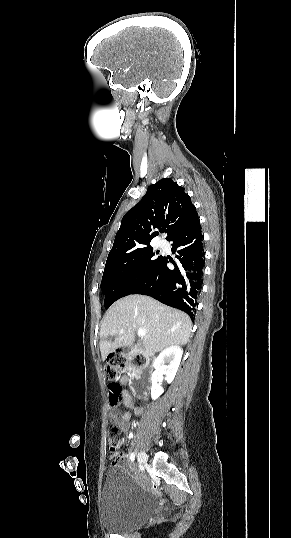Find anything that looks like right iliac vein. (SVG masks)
<instances>
[{"instance_id": "right-iliac-vein-1", "label": "right iliac vein", "mask_w": 291, "mask_h": 538, "mask_svg": "<svg viewBox=\"0 0 291 538\" xmlns=\"http://www.w3.org/2000/svg\"><path fill=\"white\" fill-rule=\"evenodd\" d=\"M148 456L144 451L139 452L138 462L139 464H145L147 462Z\"/></svg>"}]
</instances>
